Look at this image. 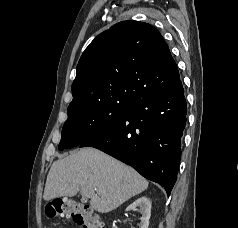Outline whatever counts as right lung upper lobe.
Wrapping results in <instances>:
<instances>
[{"instance_id":"right-lung-upper-lobe-1","label":"right lung upper lobe","mask_w":238,"mask_h":228,"mask_svg":"<svg viewBox=\"0 0 238 228\" xmlns=\"http://www.w3.org/2000/svg\"><path fill=\"white\" fill-rule=\"evenodd\" d=\"M179 79L160 32L147 23L122 21L99 34L83 52L68 114L95 104L129 103Z\"/></svg>"}]
</instances>
